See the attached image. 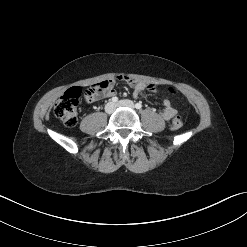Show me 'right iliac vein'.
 I'll return each instance as SVG.
<instances>
[{
  "mask_svg": "<svg viewBox=\"0 0 247 247\" xmlns=\"http://www.w3.org/2000/svg\"><path fill=\"white\" fill-rule=\"evenodd\" d=\"M115 104L112 103V102H109L106 106H105V111L108 113V114H111L114 110H115Z\"/></svg>",
  "mask_w": 247,
  "mask_h": 247,
  "instance_id": "right-iliac-vein-1",
  "label": "right iliac vein"
}]
</instances>
